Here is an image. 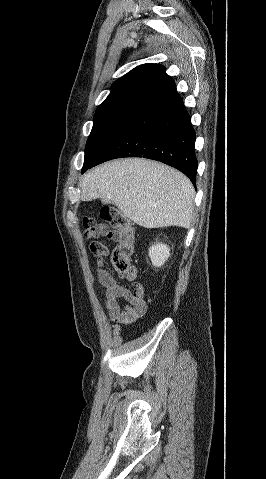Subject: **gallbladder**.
<instances>
[{
  "instance_id": "1",
  "label": "gallbladder",
  "mask_w": 266,
  "mask_h": 479,
  "mask_svg": "<svg viewBox=\"0 0 266 479\" xmlns=\"http://www.w3.org/2000/svg\"><path fill=\"white\" fill-rule=\"evenodd\" d=\"M102 203H104V204H108V203H111V201H110V200H108V199H102Z\"/></svg>"
}]
</instances>
